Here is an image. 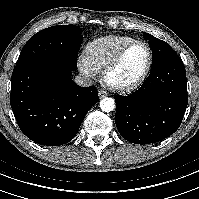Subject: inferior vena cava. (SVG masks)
<instances>
[{"mask_svg": "<svg viewBox=\"0 0 199 199\" xmlns=\"http://www.w3.org/2000/svg\"><path fill=\"white\" fill-rule=\"evenodd\" d=\"M75 82H76V84L83 86V87H89L93 84L91 78L84 74H80V75L76 76Z\"/></svg>", "mask_w": 199, "mask_h": 199, "instance_id": "1", "label": "inferior vena cava"}]
</instances>
